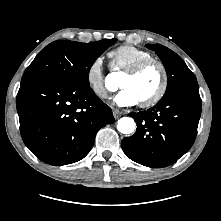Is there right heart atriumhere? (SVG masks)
Segmentation results:
<instances>
[{"label":"right heart atrium","instance_id":"right-heart-atrium-1","mask_svg":"<svg viewBox=\"0 0 221 221\" xmlns=\"http://www.w3.org/2000/svg\"><path fill=\"white\" fill-rule=\"evenodd\" d=\"M103 63V58L97 56L88 65L85 75L89 89L100 99H105L108 96Z\"/></svg>","mask_w":221,"mask_h":221}]
</instances>
